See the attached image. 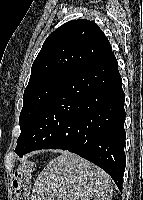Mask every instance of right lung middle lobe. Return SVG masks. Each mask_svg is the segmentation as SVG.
Returning <instances> with one entry per match:
<instances>
[{"mask_svg": "<svg viewBox=\"0 0 143 200\" xmlns=\"http://www.w3.org/2000/svg\"><path fill=\"white\" fill-rule=\"evenodd\" d=\"M69 76L65 74H51L28 83L24 91L23 108L19 118L21 134L17 139L16 153L39 111Z\"/></svg>", "mask_w": 143, "mask_h": 200, "instance_id": "dd1d6c3e", "label": "right lung middle lobe"}]
</instances>
